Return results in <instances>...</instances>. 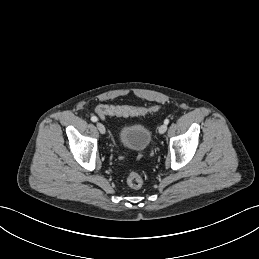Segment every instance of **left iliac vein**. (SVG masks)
<instances>
[{
    "label": "left iliac vein",
    "mask_w": 259,
    "mask_h": 259,
    "mask_svg": "<svg viewBox=\"0 0 259 259\" xmlns=\"http://www.w3.org/2000/svg\"><path fill=\"white\" fill-rule=\"evenodd\" d=\"M167 130V125L166 124H162L160 127H159V133L160 134H164Z\"/></svg>",
    "instance_id": "4c4485c4"
}]
</instances>
